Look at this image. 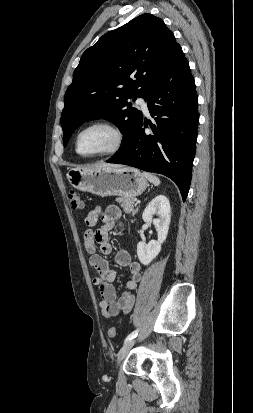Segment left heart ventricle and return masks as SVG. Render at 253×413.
I'll return each instance as SVG.
<instances>
[{"label": "left heart ventricle", "instance_id": "left-heart-ventricle-1", "mask_svg": "<svg viewBox=\"0 0 253 413\" xmlns=\"http://www.w3.org/2000/svg\"><path fill=\"white\" fill-rule=\"evenodd\" d=\"M114 142L110 130L104 127H92L84 131L79 138V151L82 154H95L108 149Z\"/></svg>", "mask_w": 253, "mask_h": 413}]
</instances>
